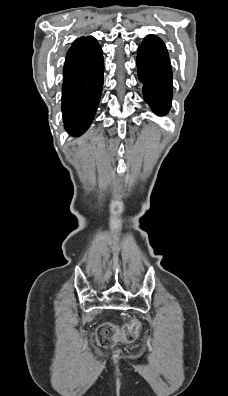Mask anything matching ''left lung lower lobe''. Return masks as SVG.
I'll return each instance as SVG.
<instances>
[{"mask_svg":"<svg viewBox=\"0 0 228 396\" xmlns=\"http://www.w3.org/2000/svg\"><path fill=\"white\" fill-rule=\"evenodd\" d=\"M137 68L145 101L156 114L165 115L171 107L173 84L168 52L160 38L144 39L138 48Z\"/></svg>","mask_w":228,"mask_h":396,"instance_id":"0a47b994","label":"left lung lower lobe"}]
</instances>
